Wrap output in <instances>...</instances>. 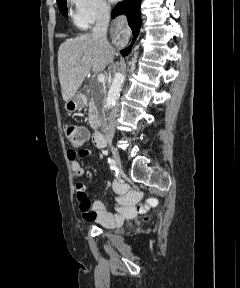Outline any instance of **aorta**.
Instances as JSON below:
<instances>
[{"label": "aorta", "instance_id": "aorta-1", "mask_svg": "<svg viewBox=\"0 0 240 288\" xmlns=\"http://www.w3.org/2000/svg\"><path fill=\"white\" fill-rule=\"evenodd\" d=\"M125 81V75L123 73H117L113 79L112 85L109 89L107 99H106V111H108L112 106H114L116 100L118 99L121 91V87Z\"/></svg>", "mask_w": 240, "mask_h": 288}]
</instances>
